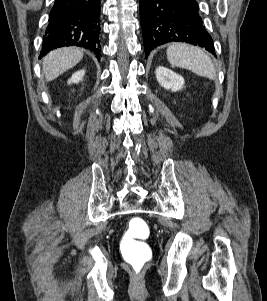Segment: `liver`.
I'll return each instance as SVG.
<instances>
[{"mask_svg":"<svg viewBox=\"0 0 267 301\" xmlns=\"http://www.w3.org/2000/svg\"><path fill=\"white\" fill-rule=\"evenodd\" d=\"M83 58V51L77 47H63L49 52L43 58L46 81H52L62 73L76 66Z\"/></svg>","mask_w":267,"mask_h":301,"instance_id":"6515ba94","label":"liver"}]
</instances>
